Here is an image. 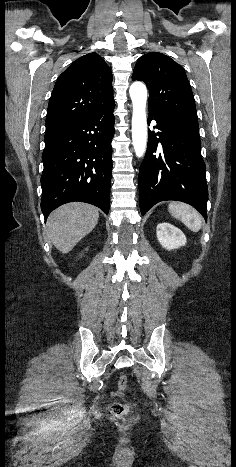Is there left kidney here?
<instances>
[{
    "mask_svg": "<svg viewBox=\"0 0 236 467\" xmlns=\"http://www.w3.org/2000/svg\"><path fill=\"white\" fill-rule=\"evenodd\" d=\"M156 235L159 243L167 250L180 248L187 242L183 232L169 223L158 224Z\"/></svg>",
    "mask_w": 236,
    "mask_h": 467,
    "instance_id": "left-kidney-1",
    "label": "left kidney"
}]
</instances>
